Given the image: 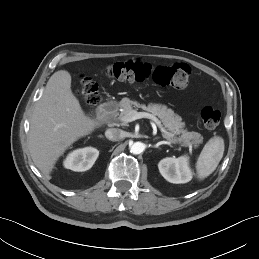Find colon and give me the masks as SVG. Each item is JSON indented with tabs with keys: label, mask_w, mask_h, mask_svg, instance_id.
<instances>
[{
	"label": "colon",
	"mask_w": 259,
	"mask_h": 259,
	"mask_svg": "<svg viewBox=\"0 0 259 259\" xmlns=\"http://www.w3.org/2000/svg\"><path fill=\"white\" fill-rule=\"evenodd\" d=\"M107 75L115 80L124 82H143L152 79L156 84L176 90L185 89L190 81L191 70L184 63L168 66H152L142 61H123L111 64L106 69ZM79 93L85 104L93 108L99 101L96 83L90 78L80 80ZM221 113L214 107H204L201 120L205 128L215 129L220 122Z\"/></svg>",
	"instance_id": "colon-1"
}]
</instances>
